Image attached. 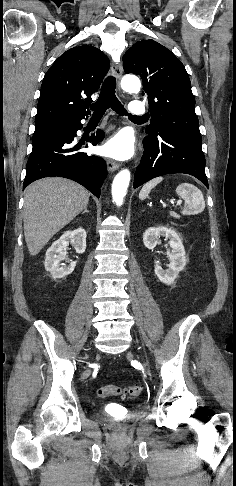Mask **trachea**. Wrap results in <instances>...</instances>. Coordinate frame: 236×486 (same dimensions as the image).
Wrapping results in <instances>:
<instances>
[{
	"label": "trachea",
	"instance_id": "1",
	"mask_svg": "<svg viewBox=\"0 0 236 486\" xmlns=\"http://www.w3.org/2000/svg\"><path fill=\"white\" fill-rule=\"evenodd\" d=\"M115 88V78L113 76H108L103 82L98 100L91 106V109L94 111L92 119H101L109 107H111L113 111L121 116L128 115L129 119L131 120L143 119L144 117L142 116H132L131 114L127 113L126 109L115 95Z\"/></svg>",
	"mask_w": 236,
	"mask_h": 486
}]
</instances>
